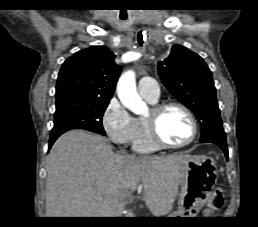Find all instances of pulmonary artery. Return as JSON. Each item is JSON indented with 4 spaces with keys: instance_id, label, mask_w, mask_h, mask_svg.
<instances>
[{
    "instance_id": "1",
    "label": "pulmonary artery",
    "mask_w": 258,
    "mask_h": 227,
    "mask_svg": "<svg viewBox=\"0 0 258 227\" xmlns=\"http://www.w3.org/2000/svg\"><path fill=\"white\" fill-rule=\"evenodd\" d=\"M140 95L150 101H157L160 96L158 83L150 77L140 79L138 83Z\"/></svg>"
}]
</instances>
